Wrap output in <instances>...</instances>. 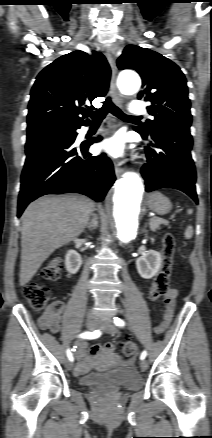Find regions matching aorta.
<instances>
[{"label":"aorta","mask_w":212,"mask_h":438,"mask_svg":"<svg viewBox=\"0 0 212 438\" xmlns=\"http://www.w3.org/2000/svg\"><path fill=\"white\" fill-rule=\"evenodd\" d=\"M141 86L140 77L134 72H123L119 76L122 93L132 95ZM144 185L137 173L127 172L117 181L112 199L108 202L113 218V231L122 243L135 239L139 227L140 203Z\"/></svg>","instance_id":"aorta-1"}]
</instances>
